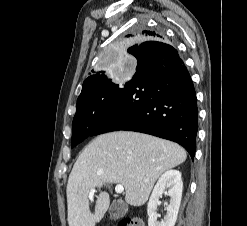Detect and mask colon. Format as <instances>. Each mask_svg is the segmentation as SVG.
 <instances>
[{
  "label": "colon",
  "instance_id": "colon-1",
  "mask_svg": "<svg viewBox=\"0 0 247 226\" xmlns=\"http://www.w3.org/2000/svg\"><path fill=\"white\" fill-rule=\"evenodd\" d=\"M118 226H145L139 218H126L119 222Z\"/></svg>",
  "mask_w": 247,
  "mask_h": 226
}]
</instances>
